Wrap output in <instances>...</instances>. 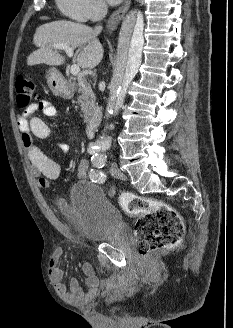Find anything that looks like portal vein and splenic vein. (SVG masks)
<instances>
[{
    "label": "portal vein and splenic vein",
    "mask_w": 233,
    "mask_h": 328,
    "mask_svg": "<svg viewBox=\"0 0 233 328\" xmlns=\"http://www.w3.org/2000/svg\"><path fill=\"white\" fill-rule=\"evenodd\" d=\"M54 47L56 49H63L69 57H72L74 54L73 48L70 46L63 45V44H54ZM70 71L73 75H79V76L84 75V72H80V67L78 65H72Z\"/></svg>",
    "instance_id": "portal-vein-and-splenic-vein-1"
}]
</instances>
